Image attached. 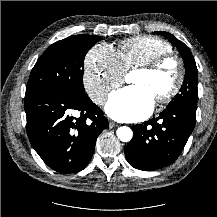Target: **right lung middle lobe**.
<instances>
[{"label":"right lung middle lobe","instance_id":"right-lung-middle-lobe-1","mask_svg":"<svg viewBox=\"0 0 217 217\" xmlns=\"http://www.w3.org/2000/svg\"><path fill=\"white\" fill-rule=\"evenodd\" d=\"M99 36L74 35L48 47L33 67L26 95L41 92H67L85 97L84 58ZM25 95V96H26Z\"/></svg>","mask_w":217,"mask_h":217}]
</instances>
